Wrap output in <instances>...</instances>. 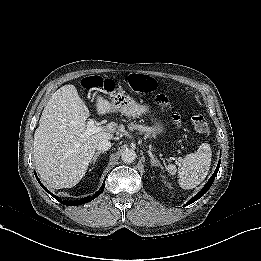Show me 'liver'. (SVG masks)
Returning <instances> with one entry per match:
<instances>
[{"label":"liver","mask_w":261,"mask_h":261,"mask_svg":"<svg viewBox=\"0 0 261 261\" xmlns=\"http://www.w3.org/2000/svg\"><path fill=\"white\" fill-rule=\"evenodd\" d=\"M98 114L110 113L112 105L99 97ZM88 107L74 85H64L50 98L34 134L35 167L48 186L73 187L84 177L95 154V145L112 139L116 123H109L100 132L85 135Z\"/></svg>","instance_id":"liver-1"}]
</instances>
